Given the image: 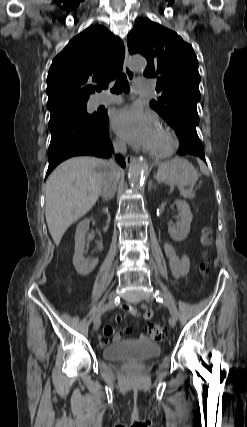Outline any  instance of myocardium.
Listing matches in <instances>:
<instances>
[{
  "label": "myocardium",
  "instance_id": "1",
  "mask_svg": "<svg viewBox=\"0 0 247 427\" xmlns=\"http://www.w3.org/2000/svg\"><path fill=\"white\" fill-rule=\"evenodd\" d=\"M159 130L165 135L166 142L159 148H150L148 153L153 158L163 159L169 157L176 150L178 140L174 131L168 126H161Z\"/></svg>",
  "mask_w": 247,
  "mask_h": 427
}]
</instances>
